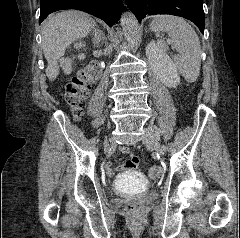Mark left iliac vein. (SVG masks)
Returning a JSON list of instances; mask_svg holds the SVG:
<instances>
[{"label":"left iliac vein","mask_w":240,"mask_h":238,"mask_svg":"<svg viewBox=\"0 0 240 238\" xmlns=\"http://www.w3.org/2000/svg\"><path fill=\"white\" fill-rule=\"evenodd\" d=\"M142 141L147 147L154 149L161 156H163L167 151V147L162 149L161 146L158 145L156 133L152 128H144Z\"/></svg>","instance_id":"left-iliac-vein-1"}]
</instances>
